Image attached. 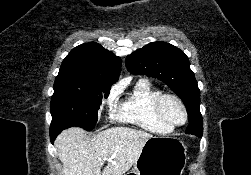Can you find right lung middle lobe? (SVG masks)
<instances>
[{
	"instance_id": "dd1d6c3e",
	"label": "right lung middle lobe",
	"mask_w": 251,
	"mask_h": 175,
	"mask_svg": "<svg viewBox=\"0 0 251 175\" xmlns=\"http://www.w3.org/2000/svg\"><path fill=\"white\" fill-rule=\"evenodd\" d=\"M109 92L110 87L55 81L50 105V130L60 133L68 127L79 126L91 131L97 123L102 99L107 98Z\"/></svg>"
}]
</instances>
